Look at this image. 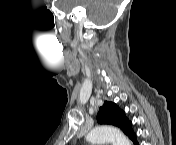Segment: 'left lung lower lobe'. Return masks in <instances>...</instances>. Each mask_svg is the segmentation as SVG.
<instances>
[{
    "label": "left lung lower lobe",
    "mask_w": 176,
    "mask_h": 145,
    "mask_svg": "<svg viewBox=\"0 0 176 145\" xmlns=\"http://www.w3.org/2000/svg\"><path fill=\"white\" fill-rule=\"evenodd\" d=\"M131 140L133 141L134 145H138L137 140H136V135L132 137Z\"/></svg>",
    "instance_id": "left-lung-lower-lobe-1"
}]
</instances>
